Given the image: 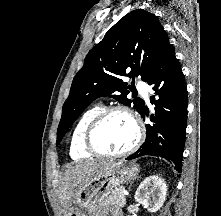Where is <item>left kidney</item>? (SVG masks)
<instances>
[{
  "mask_svg": "<svg viewBox=\"0 0 221 216\" xmlns=\"http://www.w3.org/2000/svg\"><path fill=\"white\" fill-rule=\"evenodd\" d=\"M167 186L158 175L146 177L139 185L135 200L151 213L158 211L166 200Z\"/></svg>",
  "mask_w": 221,
  "mask_h": 216,
  "instance_id": "obj_1",
  "label": "left kidney"
}]
</instances>
